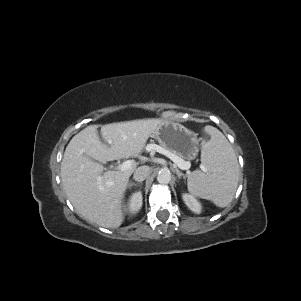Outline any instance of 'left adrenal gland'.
<instances>
[{
	"instance_id": "1",
	"label": "left adrenal gland",
	"mask_w": 301,
	"mask_h": 301,
	"mask_svg": "<svg viewBox=\"0 0 301 301\" xmlns=\"http://www.w3.org/2000/svg\"><path fill=\"white\" fill-rule=\"evenodd\" d=\"M175 172L178 176L179 179H181V177H183L184 179L186 178V175H184L182 172H180L178 169H175Z\"/></svg>"
}]
</instances>
